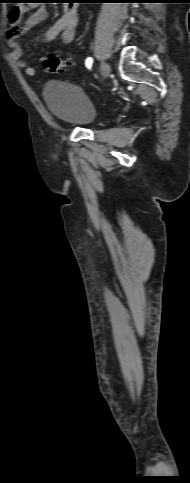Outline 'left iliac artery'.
Here are the masks:
<instances>
[{
  "label": "left iliac artery",
  "instance_id": "left-iliac-artery-1",
  "mask_svg": "<svg viewBox=\"0 0 190 483\" xmlns=\"http://www.w3.org/2000/svg\"><path fill=\"white\" fill-rule=\"evenodd\" d=\"M92 62H93V60H92V58H91V57H89V58H87V59H86L85 64H86V67H87L88 69H90V68H91Z\"/></svg>",
  "mask_w": 190,
  "mask_h": 483
}]
</instances>
